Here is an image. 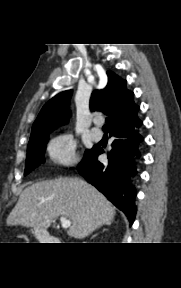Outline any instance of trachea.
<instances>
[{"instance_id":"trachea-1","label":"trachea","mask_w":181,"mask_h":288,"mask_svg":"<svg viewBox=\"0 0 181 288\" xmlns=\"http://www.w3.org/2000/svg\"><path fill=\"white\" fill-rule=\"evenodd\" d=\"M102 129H103L104 132H108L109 131V126L108 125H104L102 127Z\"/></svg>"}]
</instances>
